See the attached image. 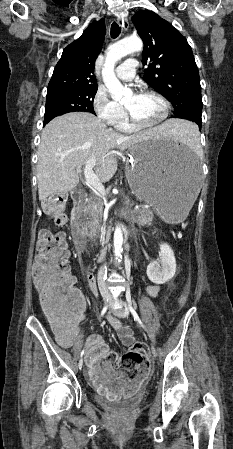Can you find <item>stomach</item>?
I'll return each mask as SVG.
<instances>
[{
	"label": "stomach",
	"instance_id": "1",
	"mask_svg": "<svg viewBox=\"0 0 233 449\" xmlns=\"http://www.w3.org/2000/svg\"><path fill=\"white\" fill-rule=\"evenodd\" d=\"M126 177L135 196L151 205L161 219L177 224L200 192V165L188 148L170 141H142L130 149Z\"/></svg>",
	"mask_w": 233,
	"mask_h": 449
}]
</instances>
